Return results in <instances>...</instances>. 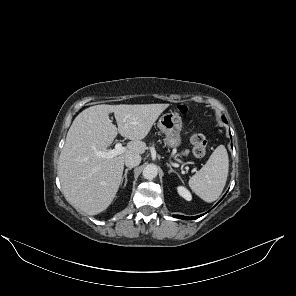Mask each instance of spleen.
Instances as JSON below:
<instances>
[{"mask_svg": "<svg viewBox=\"0 0 296 296\" xmlns=\"http://www.w3.org/2000/svg\"><path fill=\"white\" fill-rule=\"evenodd\" d=\"M229 159L224 145H219L206 164L189 179V187L204 201L211 203L221 195L228 176Z\"/></svg>", "mask_w": 296, "mask_h": 296, "instance_id": "1", "label": "spleen"}]
</instances>
